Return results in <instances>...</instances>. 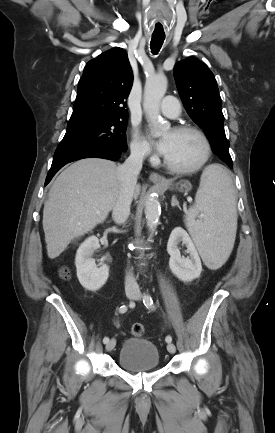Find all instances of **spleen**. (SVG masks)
<instances>
[{"mask_svg":"<svg viewBox=\"0 0 275 433\" xmlns=\"http://www.w3.org/2000/svg\"><path fill=\"white\" fill-rule=\"evenodd\" d=\"M185 225L205 264L220 268L231 254L237 230L235 190L230 174L221 165L204 169Z\"/></svg>","mask_w":275,"mask_h":433,"instance_id":"3e777b00","label":"spleen"}]
</instances>
